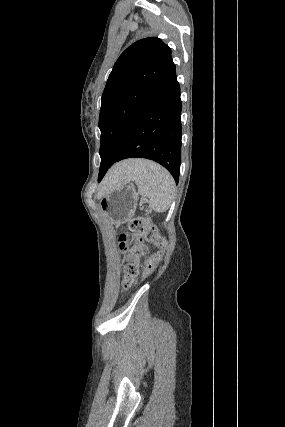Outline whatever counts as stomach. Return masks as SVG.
Wrapping results in <instances>:
<instances>
[{
	"label": "stomach",
	"mask_w": 285,
	"mask_h": 427,
	"mask_svg": "<svg viewBox=\"0 0 285 427\" xmlns=\"http://www.w3.org/2000/svg\"><path fill=\"white\" fill-rule=\"evenodd\" d=\"M138 193L131 185L113 187L100 200L101 212L113 224L129 221L135 213Z\"/></svg>",
	"instance_id": "stomach-1"
}]
</instances>
